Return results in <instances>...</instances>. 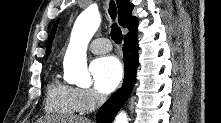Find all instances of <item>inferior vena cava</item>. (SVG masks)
<instances>
[{
	"instance_id": "1",
	"label": "inferior vena cava",
	"mask_w": 221,
	"mask_h": 123,
	"mask_svg": "<svg viewBox=\"0 0 221 123\" xmlns=\"http://www.w3.org/2000/svg\"><path fill=\"white\" fill-rule=\"evenodd\" d=\"M105 100H106V96L103 94H98L96 97V102L98 106L102 105L105 102Z\"/></svg>"
}]
</instances>
